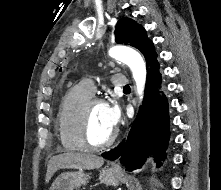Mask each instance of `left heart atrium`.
<instances>
[{"mask_svg":"<svg viewBox=\"0 0 221 190\" xmlns=\"http://www.w3.org/2000/svg\"><path fill=\"white\" fill-rule=\"evenodd\" d=\"M105 114L107 123L111 128H115L120 120V111L116 104H105Z\"/></svg>","mask_w":221,"mask_h":190,"instance_id":"left-heart-atrium-1","label":"left heart atrium"}]
</instances>
